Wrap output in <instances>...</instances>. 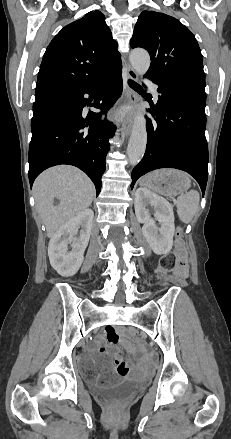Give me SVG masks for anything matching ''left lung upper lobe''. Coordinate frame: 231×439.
<instances>
[{"label": "left lung upper lobe", "mask_w": 231, "mask_h": 439, "mask_svg": "<svg viewBox=\"0 0 231 439\" xmlns=\"http://www.w3.org/2000/svg\"><path fill=\"white\" fill-rule=\"evenodd\" d=\"M130 45L151 57L146 76L158 83H189L205 87L203 56L193 33L179 20L155 11H143Z\"/></svg>", "instance_id": "1"}]
</instances>
